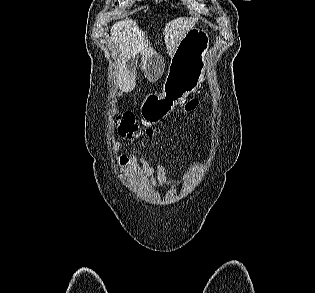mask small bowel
Instances as JSON below:
<instances>
[{
    "instance_id": "small-bowel-1",
    "label": "small bowel",
    "mask_w": 315,
    "mask_h": 293,
    "mask_svg": "<svg viewBox=\"0 0 315 293\" xmlns=\"http://www.w3.org/2000/svg\"><path fill=\"white\" fill-rule=\"evenodd\" d=\"M144 167V180L157 190L161 191L166 188L177 185V181L167 178L166 167L170 164H160L156 169L152 167L147 158L141 159Z\"/></svg>"
}]
</instances>
